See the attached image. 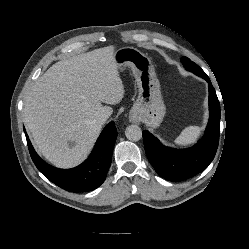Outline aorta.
Masks as SVG:
<instances>
[{"label": "aorta", "instance_id": "aorta-1", "mask_svg": "<svg viewBox=\"0 0 249 249\" xmlns=\"http://www.w3.org/2000/svg\"><path fill=\"white\" fill-rule=\"evenodd\" d=\"M125 135L130 141H139L142 138V130L137 125H129L125 130Z\"/></svg>", "mask_w": 249, "mask_h": 249}]
</instances>
